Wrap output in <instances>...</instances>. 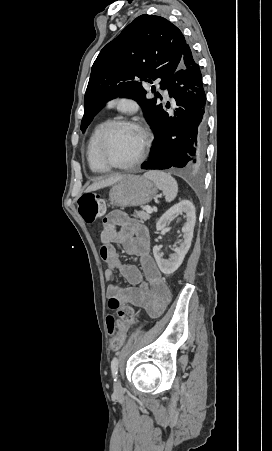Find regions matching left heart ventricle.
Segmentation results:
<instances>
[{
    "mask_svg": "<svg viewBox=\"0 0 272 451\" xmlns=\"http://www.w3.org/2000/svg\"><path fill=\"white\" fill-rule=\"evenodd\" d=\"M137 132L128 127H114L107 138L104 149V159L108 166H119L130 158Z\"/></svg>",
    "mask_w": 272,
    "mask_h": 451,
    "instance_id": "b2bd125f",
    "label": "left heart ventricle"
}]
</instances>
